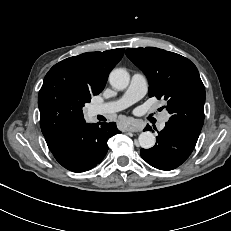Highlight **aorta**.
<instances>
[{
    "label": "aorta",
    "mask_w": 231,
    "mask_h": 231,
    "mask_svg": "<svg viewBox=\"0 0 231 231\" xmlns=\"http://www.w3.org/2000/svg\"><path fill=\"white\" fill-rule=\"evenodd\" d=\"M130 75L122 68H117L111 71L109 82L111 86L117 90H123L129 85ZM139 145L144 149H150L155 145L156 138L150 131L142 132L138 137Z\"/></svg>",
    "instance_id": "obj_1"
}]
</instances>
